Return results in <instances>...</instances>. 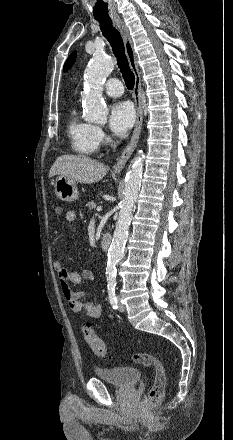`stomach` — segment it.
Segmentation results:
<instances>
[{"mask_svg":"<svg viewBox=\"0 0 233 440\" xmlns=\"http://www.w3.org/2000/svg\"><path fill=\"white\" fill-rule=\"evenodd\" d=\"M54 188L56 196L62 201L72 202L79 197L76 182L69 178L59 176L55 180Z\"/></svg>","mask_w":233,"mask_h":440,"instance_id":"obj_1","label":"stomach"}]
</instances>
